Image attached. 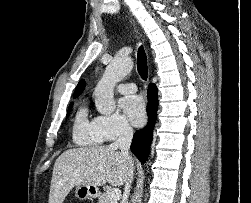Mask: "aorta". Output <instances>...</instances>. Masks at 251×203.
I'll return each instance as SVG.
<instances>
[{"label":"aorta","mask_w":251,"mask_h":203,"mask_svg":"<svg viewBox=\"0 0 251 203\" xmlns=\"http://www.w3.org/2000/svg\"><path fill=\"white\" fill-rule=\"evenodd\" d=\"M133 68L130 58H116L105 69L95 88V104L99 113L110 115L115 110L114 88Z\"/></svg>","instance_id":"obj_1"}]
</instances>
